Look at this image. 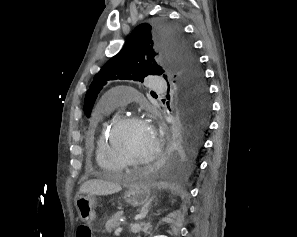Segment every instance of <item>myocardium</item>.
I'll return each mask as SVG.
<instances>
[{"mask_svg":"<svg viewBox=\"0 0 297 237\" xmlns=\"http://www.w3.org/2000/svg\"><path fill=\"white\" fill-rule=\"evenodd\" d=\"M141 122L145 123V120L138 115L123 116L116 120L113 127L109 132V145L113 155L123 164V166H147L155 162L161 155V142L156 136L155 148L149 156L142 160H135L127 155L120 147L118 142V136L121 130L131 123Z\"/></svg>","mask_w":297,"mask_h":237,"instance_id":"obj_1","label":"myocardium"}]
</instances>
